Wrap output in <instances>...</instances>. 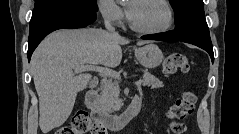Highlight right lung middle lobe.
Here are the masks:
<instances>
[{
  "label": "right lung middle lobe",
  "mask_w": 239,
  "mask_h": 134,
  "mask_svg": "<svg viewBox=\"0 0 239 134\" xmlns=\"http://www.w3.org/2000/svg\"><path fill=\"white\" fill-rule=\"evenodd\" d=\"M62 7H74L92 12L98 11L96 0H36L30 22L49 11Z\"/></svg>",
  "instance_id": "1"
}]
</instances>
